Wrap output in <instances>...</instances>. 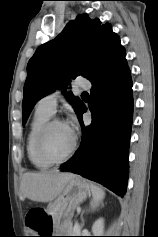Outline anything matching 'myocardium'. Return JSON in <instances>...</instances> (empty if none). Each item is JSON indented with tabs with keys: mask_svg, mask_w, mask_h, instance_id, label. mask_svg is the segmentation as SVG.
<instances>
[{
	"mask_svg": "<svg viewBox=\"0 0 158 237\" xmlns=\"http://www.w3.org/2000/svg\"><path fill=\"white\" fill-rule=\"evenodd\" d=\"M56 124H64V122L58 118H52V119L48 120L44 124V126L41 128V130L39 131L38 136L36 138L37 154L39 155V157L41 159L50 163L51 165L52 164H60V163L67 161L68 159H70L72 157V155L74 154L76 147H77L76 137L73 136L72 145L69 148L68 152L64 156L56 158V157L52 156L47 151V148H46L47 136H48L49 132L51 131L52 127Z\"/></svg>",
	"mask_w": 158,
	"mask_h": 237,
	"instance_id": "myocardium-1",
	"label": "myocardium"
}]
</instances>
